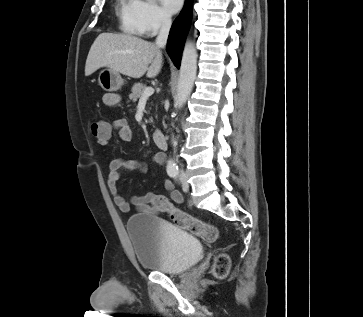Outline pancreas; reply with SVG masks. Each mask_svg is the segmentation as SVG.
Listing matches in <instances>:
<instances>
[{"label":"pancreas","instance_id":"pancreas-1","mask_svg":"<svg viewBox=\"0 0 363 317\" xmlns=\"http://www.w3.org/2000/svg\"><path fill=\"white\" fill-rule=\"evenodd\" d=\"M146 88V85H143L141 83H135L131 89V94L129 95V99L133 102H136L139 98H141L144 90ZM152 121V119H150Z\"/></svg>","mask_w":363,"mask_h":317}]
</instances>
